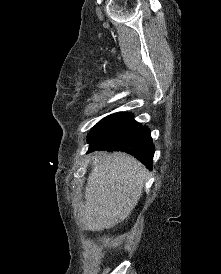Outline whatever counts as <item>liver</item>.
Segmentation results:
<instances>
[{"mask_svg": "<svg viewBox=\"0 0 221 274\" xmlns=\"http://www.w3.org/2000/svg\"><path fill=\"white\" fill-rule=\"evenodd\" d=\"M91 167L80 223L86 230L110 229L124 221L137 205L147 170L134 157L121 152H99Z\"/></svg>", "mask_w": 221, "mask_h": 274, "instance_id": "6515ba94", "label": "liver"}]
</instances>
